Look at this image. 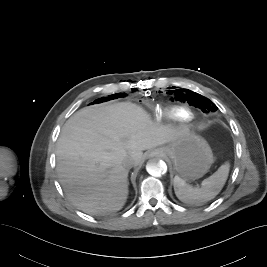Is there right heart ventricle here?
Listing matches in <instances>:
<instances>
[{"label": "right heart ventricle", "instance_id": "e07e8e85", "mask_svg": "<svg viewBox=\"0 0 267 267\" xmlns=\"http://www.w3.org/2000/svg\"><path fill=\"white\" fill-rule=\"evenodd\" d=\"M158 113L161 115L164 113L163 109H160ZM169 115H171L174 119L181 123H187L192 119V113L190 110L184 107H175L171 109L169 112Z\"/></svg>", "mask_w": 267, "mask_h": 267}]
</instances>
